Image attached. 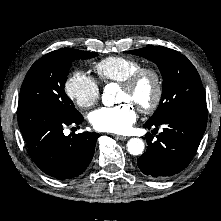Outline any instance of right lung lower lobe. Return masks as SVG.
<instances>
[{
	"label": "right lung lower lobe",
	"instance_id": "98d812e1",
	"mask_svg": "<svg viewBox=\"0 0 221 221\" xmlns=\"http://www.w3.org/2000/svg\"><path fill=\"white\" fill-rule=\"evenodd\" d=\"M20 131L35 164L47 175L70 179L80 175L94 155L95 132L65 136L69 125H79L82 115L67 117L49 108L30 106L18 110Z\"/></svg>",
	"mask_w": 221,
	"mask_h": 221
}]
</instances>
